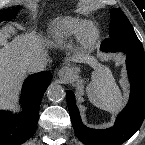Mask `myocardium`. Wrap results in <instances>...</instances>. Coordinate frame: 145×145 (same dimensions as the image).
Wrapping results in <instances>:
<instances>
[{
	"label": "myocardium",
	"instance_id": "myocardium-1",
	"mask_svg": "<svg viewBox=\"0 0 145 145\" xmlns=\"http://www.w3.org/2000/svg\"><path fill=\"white\" fill-rule=\"evenodd\" d=\"M93 36H94V32H90L87 36V39L91 40L93 38Z\"/></svg>",
	"mask_w": 145,
	"mask_h": 145
}]
</instances>
